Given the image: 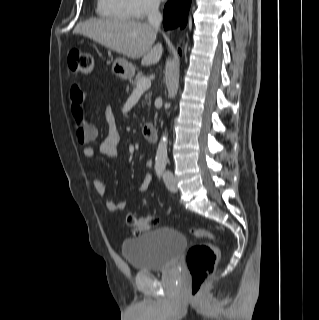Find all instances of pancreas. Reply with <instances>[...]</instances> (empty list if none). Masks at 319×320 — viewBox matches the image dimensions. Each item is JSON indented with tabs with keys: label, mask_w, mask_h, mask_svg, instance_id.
<instances>
[{
	"label": "pancreas",
	"mask_w": 319,
	"mask_h": 320,
	"mask_svg": "<svg viewBox=\"0 0 319 320\" xmlns=\"http://www.w3.org/2000/svg\"><path fill=\"white\" fill-rule=\"evenodd\" d=\"M144 77V74L142 72L137 73L135 78L133 80H130V83L133 85L134 88H136L138 81ZM150 99H151V94L148 93L145 95V101L142 103L143 105L148 104L150 106Z\"/></svg>",
	"instance_id": "pancreas-1"
}]
</instances>
